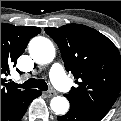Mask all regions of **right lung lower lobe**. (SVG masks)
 Returning <instances> with one entry per match:
<instances>
[{
	"label": "right lung lower lobe",
	"mask_w": 121,
	"mask_h": 121,
	"mask_svg": "<svg viewBox=\"0 0 121 121\" xmlns=\"http://www.w3.org/2000/svg\"><path fill=\"white\" fill-rule=\"evenodd\" d=\"M40 95L39 90H28L1 112V121H20L32 100Z\"/></svg>",
	"instance_id": "1"
}]
</instances>
